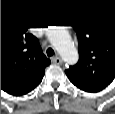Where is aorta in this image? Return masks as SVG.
<instances>
[{
    "label": "aorta",
    "instance_id": "aorta-1",
    "mask_svg": "<svg viewBox=\"0 0 115 114\" xmlns=\"http://www.w3.org/2000/svg\"><path fill=\"white\" fill-rule=\"evenodd\" d=\"M49 39L66 63L75 64L78 61V51L65 28L52 27Z\"/></svg>",
    "mask_w": 115,
    "mask_h": 114
}]
</instances>
